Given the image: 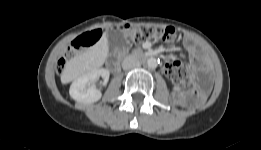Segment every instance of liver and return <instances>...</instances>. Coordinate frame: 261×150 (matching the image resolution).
Returning <instances> with one entry per match:
<instances>
[{
  "instance_id": "obj_1",
  "label": "liver",
  "mask_w": 261,
  "mask_h": 150,
  "mask_svg": "<svg viewBox=\"0 0 261 150\" xmlns=\"http://www.w3.org/2000/svg\"><path fill=\"white\" fill-rule=\"evenodd\" d=\"M108 54V41L103 36L93 47L89 48L82 55L72 58L68 63V68L76 70L80 74L98 69L101 67ZM65 74L63 75V77Z\"/></svg>"
}]
</instances>
